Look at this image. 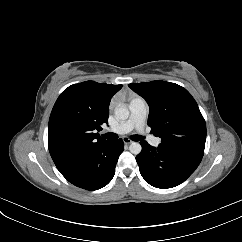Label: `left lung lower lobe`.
<instances>
[{"label": "left lung lower lobe", "instance_id": "1", "mask_svg": "<svg viewBox=\"0 0 242 242\" xmlns=\"http://www.w3.org/2000/svg\"><path fill=\"white\" fill-rule=\"evenodd\" d=\"M142 151L136 156L142 177L156 188H172L184 182L198 167L202 157L171 150L162 146H150L140 142Z\"/></svg>", "mask_w": 242, "mask_h": 242}]
</instances>
